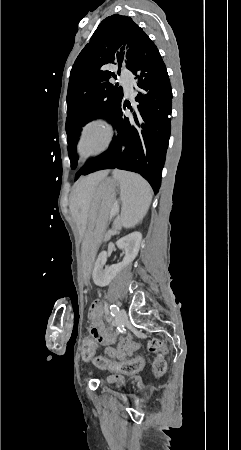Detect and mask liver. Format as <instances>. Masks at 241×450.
<instances>
[{"instance_id": "liver-1", "label": "liver", "mask_w": 241, "mask_h": 450, "mask_svg": "<svg viewBox=\"0 0 241 450\" xmlns=\"http://www.w3.org/2000/svg\"><path fill=\"white\" fill-rule=\"evenodd\" d=\"M109 170H101L95 174H89L84 178H79L73 186L70 196V210L73 216H77L79 210H82L83 224H86L87 212L91 204V200L96 192L99 182L108 176Z\"/></svg>"}]
</instances>
